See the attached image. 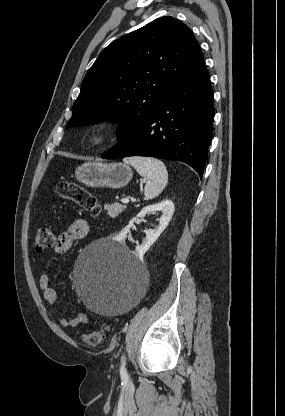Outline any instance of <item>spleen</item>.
Returning <instances> with one entry per match:
<instances>
[{
	"label": "spleen",
	"instance_id": "1",
	"mask_svg": "<svg viewBox=\"0 0 285 416\" xmlns=\"http://www.w3.org/2000/svg\"><path fill=\"white\" fill-rule=\"evenodd\" d=\"M125 164H130L135 168L136 172L147 178L148 182L145 186V200H153L163 192L168 184V172L165 164L156 160V158H141V156H133V158H124Z\"/></svg>",
	"mask_w": 285,
	"mask_h": 416
}]
</instances>
